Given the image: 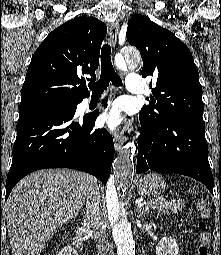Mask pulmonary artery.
<instances>
[{
  "label": "pulmonary artery",
  "mask_w": 221,
  "mask_h": 255,
  "mask_svg": "<svg viewBox=\"0 0 221 255\" xmlns=\"http://www.w3.org/2000/svg\"><path fill=\"white\" fill-rule=\"evenodd\" d=\"M126 89L132 93L144 92V81L140 74L131 73L126 77Z\"/></svg>",
  "instance_id": "1"
}]
</instances>
